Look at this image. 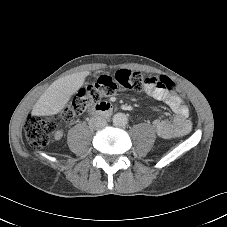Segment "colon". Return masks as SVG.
Returning <instances> with one entry per match:
<instances>
[{
	"label": "colon",
	"mask_w": 227,
	"mask_h": 227,
	"mask_svg": "<svg viewBox=\"0 0 227 227\" xmlns=\"http://www.w3.org/2000/svg\"><path fill=\"white\" fill-rule=\"evenodd\" d=\"M157 82L164 84L172 92L180 93L174 82L164 76L156 78L127 69L119 70L114 75H102L93 84L80 89L58 117L39 118L29 115L24 124L27 140L34 148H43L49 143L58 120H72L101 99L114 95L119 89L140 91Z\"/></svg>",
	"instance_id": "obj_1"
}]
</instances>
